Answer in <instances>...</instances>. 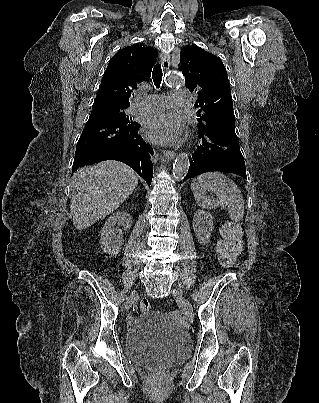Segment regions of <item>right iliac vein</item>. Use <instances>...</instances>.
I'll return each mask as SVG.
<instances>
[{"label": "right iliac vein", "instance_id": "obj_1", "mask_svg": "<svg viewBox=\"0 0 319 403\" xmlns=\"http://www.w3.org/2000/svg\"><path fill=\"white\" fill-rule=\"evenodd\" d=\"M136 296H137V293H136V292H133V293L130 295V297H129V299L127 300L126 305H125V309H126V310H128V309L131 307L133 301L136 299Z\"/></svg>", "mask_w": 319, "mask_h": 403}]
</instances>
